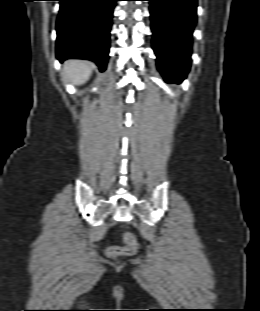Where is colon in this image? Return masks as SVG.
I'll return each instance as SVG.
<instances>
[{
  "instance_id": "colon-1",
  "label": "colon",
  "mask_w": 260,
  "mask_h": 311,
  "mask_svg": "<svg viewBox=\"0 0 260 311\" xmlns=\"http://www.w3.org/2000/svg\"><path fill=\"white\" fill-rule=\"evenodd\" d=\"M125 246H114L107 250L109 256L116 257L121 255L134 254L138 249V241L132 233H126L124 235Z\"/></svg>"
}]
</instances>
